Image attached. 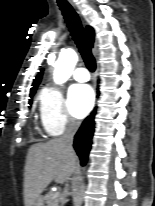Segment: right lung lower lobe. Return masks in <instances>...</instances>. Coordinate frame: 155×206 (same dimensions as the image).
Returning <instances> with one entry per match:
<instances>
[{
  "mask_svg": "<svg viewBox=\"0 0 155 206\" xmlns=\"http://www.w3.org/2000/svg\"><path fill=\"white\" fill-rule=\"evenodd\" d=\"M96 110H94L82 123L80 129L74 138V148L80 157L81 164L85 165L91 148L92 137L94 133V118Z\"/></svg>",
  "mask_w": 155,
  "mask_h": 206,
  "instance_id": "right-lung-lower-lobe-1",
  "label": "right lung lower lobe"
}]
</instances>
